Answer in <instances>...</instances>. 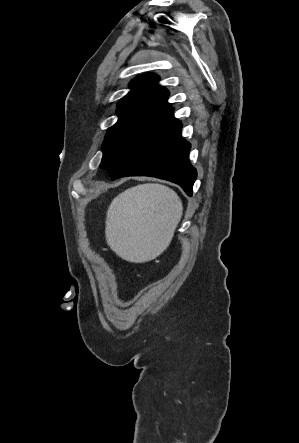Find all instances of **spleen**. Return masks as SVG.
Instances as JSON below:
<instances>
[{
	"mask_svg": "<svg viewBox=\"0 0 299 443\" xmlns=\"http://www.w3.org/2000/svg\"><path fill=\"white\" fill-rule=\"evenodd\" d=\"M182 212L180 198L166 186L130 188L115 197L108 208L107 243L125 260L153 259L169 245Z\"/></svg>",
	"mask_w": 299,
	"mask_h": 443,
	"instance_id": "spleen-1",
	"label": "spleen"
}]
</instances>
